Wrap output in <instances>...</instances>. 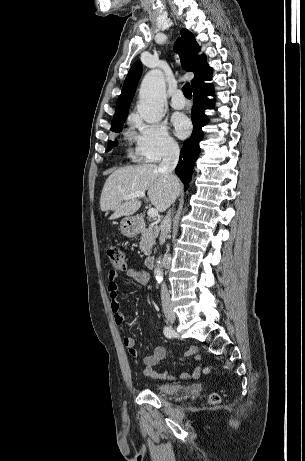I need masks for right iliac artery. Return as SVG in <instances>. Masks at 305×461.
Returning <instances> with one entry per match:
<instances>
[{"mask_svg":"<svg viewBox=\"0 0 305 461\" xmlns=\"http://www.w3.org/2000/svg\"><path fill=\"white\" fill-rule=\"evenodd\" d=\"M164 335L167 337V338H172L174 337L175 335V331L172 329L171 326H166L164 327Z\"/></svg>","mask_w":305,"mask_h":461,"instance_id":"82829eb1","label":"right iliac artery"}]
</instances>
